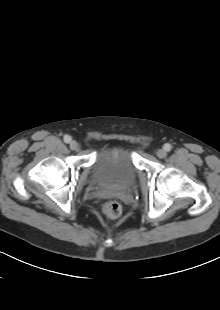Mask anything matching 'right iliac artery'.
Here are the masks:
<instances>
[{
	"instance_id": "1",
	"label": "right iliac artery",
	"mask_w": 220,
	"mask_h": 310,
	"mask_svg": "<svg viewBox=\"0 0 220 310\" xmlns=\"http://www.w3.org/2000/svg\"><path fill=\"white\" fill-rule=\"evenodd\" d=\"M71 140H72V138H71L69 135H65V136H64V141H65L66 143H70Z\"/></svg>"
}]
</instances>
